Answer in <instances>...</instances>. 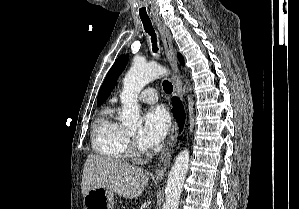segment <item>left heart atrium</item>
<instances>
[{
  "label": "left heart atrium",
  "instance_id": "left-heart-atrium-1",
  "mask_svg": "<svg viewBox=\"0 0 299 209\" xmlns=\"http://www.w3.org/2000/svg\"><path fill=\"white\" fill-rule=\"evenodd\" d=\"M170 127V117L165 108H151L144 116V126L138 135V142L143 148L159 144Z\"/></svg>",
  "mask_w": 299,
  "mask_h": 209
}]
</instances>
